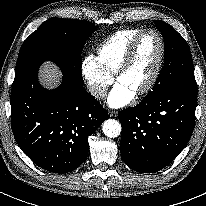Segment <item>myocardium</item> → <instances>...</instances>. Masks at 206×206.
I'll use <instances>...</instances> for the list:
<instances>
[{
	"label": "myocardium",
	"mask_w": 206,
	"mask_h": 206,
	"mask_svg": "<svg viewBox=\"0 0 206 206\" xmlns=\"http://www.w3.org/2000/svg\"><path fill=\"white\" fill-rule=\"evenodd\" d=\"M148 33H153L157 36V38L159 40V44H160V51H159L158 60H157L156 66L154 68V71L151 75V78L149 79L147 84L142 89H140L138 92H136L135 95L137 97H141V96L148 94L156 85V83L159 79V76L161 74L162 67H163L164 60H165V52H166L165 41H164L162 34L159 31H157L156 29H152V28L143 29L132 40L124 57L122 58L121 62L119 63L118 68H117L116 73H115V80L118 81L120 79V77L127 71L130 64L132 63L140 40L142 39V37L144 35H146Z\"/></svg>",
	"instance_id": "myocardium-1"
}]
</instances>
